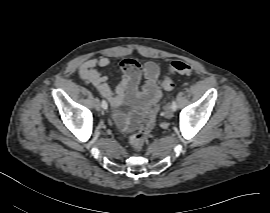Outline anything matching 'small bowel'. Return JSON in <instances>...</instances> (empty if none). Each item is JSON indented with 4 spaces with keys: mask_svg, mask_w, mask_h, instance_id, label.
<instances>
[{
    "mask_svg": "<svg viewBox=\"0 0 270 213\" xmlns=\"http://www.w3.org/2000/svg\"><path fill=\"white\" fill-rule=\"evenodd\" d=\"M110 63L111 59L105 55L88 59L79 68L80 77L93 85L113 106H134V115L128 125H120L123 129L133 128L145 112L156 105L161 97V89L158 86L159 66L151 61L141 66L134 59H124L120 63L123 80L112 89L107 78L97 69L105 68ZM142 77H144V80L140 85Z\"/></svg>",
    "mask_w": 270,
    "mask_h": 213,
    "instance_id": "1",
    "label": "small bowel"
}]
</instances>
